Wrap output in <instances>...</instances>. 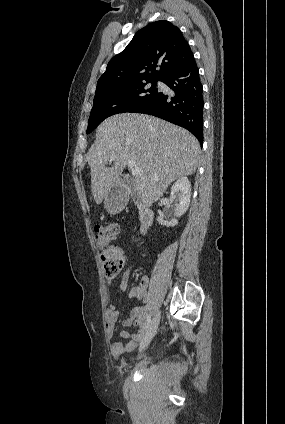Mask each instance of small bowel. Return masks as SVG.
I'll list each match as a JSON object with an SVG mask.
<instances>
[{"label": "small bowel", "instance_id": "obj_1", "mask_svg": "<svg viewBox=\"0 0 285 424\" xmlns=\"http://www.w3.org/2000/svg\"><path fill=\"white\" fill-rule=\"evenodd\" d=\"M123 263L126 264L128 262V258L126 255H122ZM133 265H130L125 272L122 275L119 288L121 291H126L128 289V283L130 278V273L132 270ZM113 283V279H109L107 281V287L109 288ZM147 288H148V278L146 276H143L140 279V282L137 286L133 287L129 292V298L141 300L145 299L147 294ZM146 311L147 306H138L133 307L128 312L127 317L122 321V327L125 328L121 332V338L122 339H129L127 343H124L123 341H116L111 344V354L113 357L118 358L120 355L124 354L125 352L131 351L137 342L141 339L143 330L146 325ZM120 316V310L112 305L110 306L106 312H105V336L108 341H112L114 338V332H115V324L118 321ZM136 326L137 331L131 332L127 330L126 328H129L131 326Z\"/></svg>", "mask_w": 285, "mask_h": 424}]
</instances>
